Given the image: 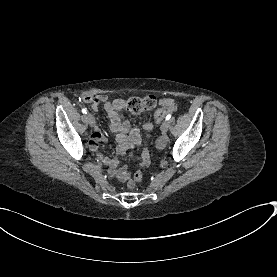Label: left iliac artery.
Masks as SVG:
<instances>
[{
	"mask_svg": "<svg viewBox=\"0 0 277 277\" xmlns=\"http://www.w3.org/2000/svg\"><path fill=\"white\" fill-rule=\"evenodd\" d=\"M170 118H171V115L168 114V115L166 116V120L168 121V120H170Z\"/></svg>",
	"mask_w": 277,
	"mask_h": 277,
	"instance_id": "44dca946",
	"label": "left iliac artery"
}]
</instances>
